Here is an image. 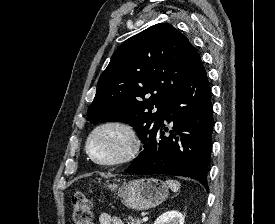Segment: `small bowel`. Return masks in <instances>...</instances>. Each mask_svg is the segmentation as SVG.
<instances>
[{
	"label": "small bowel",
	"instance_id": "c3829d8e",
	"mask_svg": "<svg viewBox=\"0 0 275 224\" xmlns=\"http://www.w3.org/2000/svg\"><path fill=\"white\" fill-rule=\"evenodd\" d=\"M99 224H124L123 220L117 216H111L106 212H101L98 215Z\"/></svg>",
	"mask_w": 275,
	"mask_h": 224
}]
</instances>
